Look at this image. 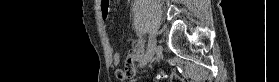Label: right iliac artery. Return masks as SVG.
I'll return each instance as SVG.
<instances>
[{"mask_svg": "<svg viewBox=\"0 0 279 82\" xmlns=\"http://www.w3.org/2000/svg\"><path fill=\"white\" fill-rule=\"evenodd\" d=\"M143 55H140V58L142 59Z\"/></svg>", "mask_w": 279, "mask_h": 82, "instance_id": "obj_1", "label": "right iliac artery"}]
</instances>
